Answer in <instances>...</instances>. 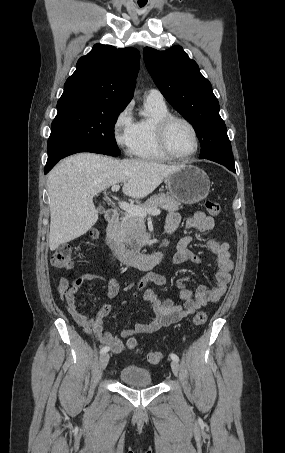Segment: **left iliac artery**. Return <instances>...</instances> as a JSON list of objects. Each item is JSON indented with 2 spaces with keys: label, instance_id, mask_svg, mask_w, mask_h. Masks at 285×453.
Here are the masks:
<instances>
[{
  "label": "left iliac artery",
  "instance_id": "obj_1",
  "mask_svg": "<svg viewBox=\"0 0 285 453\" xmlns=\"http://www.w3.org/2000/svg\"><path fill=\"white\" fill-rule=\"evenodd\" d=\"M170 357H171L173 360L177 361V362L179 361V357H178L176 354H174V353H171V354H170Z\"/></svg>",
  "mask_w": 285,
  "mask_h": 453
}]
</instances>
